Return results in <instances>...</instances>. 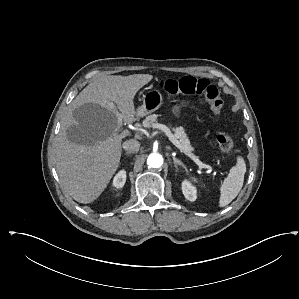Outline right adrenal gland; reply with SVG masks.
I'll return each mask as SVG.
<instances>
[{"mask_svg": "<svg viewBox=\"0 0 299 299\" xmlns=\"http://www.w3.org/2000/svg\"><path fill=\"white\" fill-rule=\"evenodd\" d=\"M130 154H131V153H129V152H126V153H125V155H130Z\"/></svg>", "mask_w": 299, "mask_h": 299, "instance_id": "2a0ac1e0", "label": "right adrenal gland"}]
</instances>
